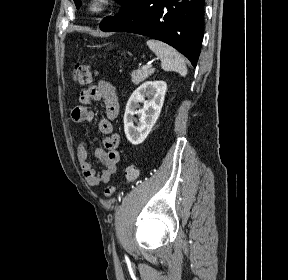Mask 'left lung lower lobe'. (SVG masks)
<instances>
[{"label": "left lung lower lobe", "instance_id": "obj_1", "mask_svg": "<svg viewBox=\"0 0 288 280\" xmlns=\"http://www.w3.org/2000/svg\"><path fill=\"white\" fill-rule=\"evenodd\" d=\"M205 0H133L112 17L104 18L105 32H132L163 41L196 67L204 33Z\"/></svg>", "mask_w": 288, "mask_h": 280}]
</instances>
